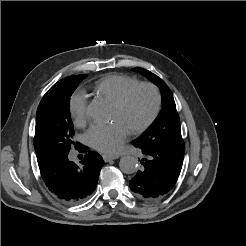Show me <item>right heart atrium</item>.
<instances>
[{
	"mask_svg": "<svg viewBox=\"0 0 246 246\" xmlns=\"http://www.w3.org/2000/svg\"><path fill=\"white\" fill-rule=\"evenodd\" d=\"M69 112L73 122L81 126L87 120V95L83 91L75 92L69 100Z\"/></svg>",
	"mask_w": 246,
	"mask_h": 246,
	"instance_id": "d8ad5b80",
	"label": "right heart atrium"
}]
</instances>
